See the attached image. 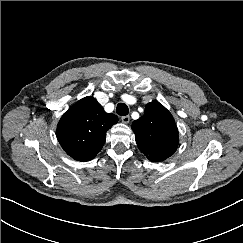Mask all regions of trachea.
I'll list each match as a JSON object with an SVG mask.
<instances>
[{"instance_id": "obj_1", "label": "trachea", "mask_w": 243, "mask_h": 243, "mask_svg": "<svg viewBox=\"0 0 243 243\" xmlns=\"http://www.w3.org/2000/svg\"><path fill=\"white\" fill-rule=\"evenodd\" d=\"M116 112L120 116H126L129 113L128 106L124 103H119L116 107Z\"/></svg>"}]
</instances>
